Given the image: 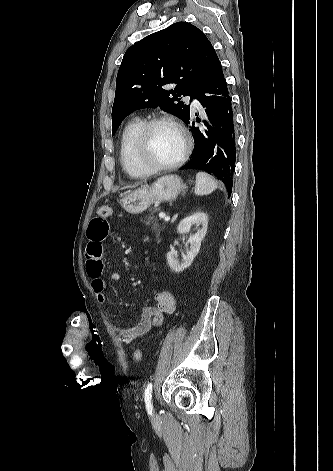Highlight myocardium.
Returning <instances> with one entry per match:
<instances>
[{
    "label": "myocardium",
    "instance_id": "1",
    "mask_svg": "<svg viewBox=\"0 0 333 471\" xmlns=\"http://www.w3.org/2000/svg\"><path fill=\"white\" fill-rule=\"evenodd\" d=\"M162 124H167L174 127L182 139V150L180 155L174 161L167 164L155 163L150 157L151 132L156 126ZM190 151L191 139L188 132L182 124L169 116H160L146 121L142 126L136 141V159L139 165L150 173L170 171L178 168L187 160Z\"/></svg>",
    "mask_w": 333,
    "mask_h": 471
}]
</instances>
